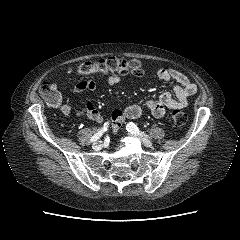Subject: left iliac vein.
Returning <instances> with one entry per match:
<instances>
[{"instance_id":"4c4485c4","label":"left iliac vein","mask_w":240,"mask_h":240,"mask_svg":"<svg viewBox=\"0 0 240 240\" xmlns=\"http://www.w3.org/2000/svg\"><path fill=\"white\" fill-rule=\"evenodd\" d=\"M134 135V134H132ZM138 140L146 147H153V143L146 137H143L142 135L137 136Z\"/></svg>"}]
</instances>
